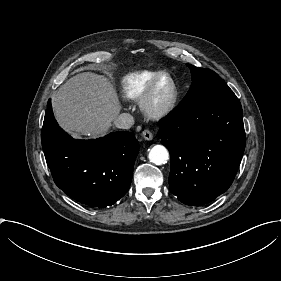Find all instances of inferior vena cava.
Returning a JSON list of instances; mask_svg holds the SVG:
<instances>
[{
	"mask_svg": "<svg viewBox=\"0 0 281 281\" xmlns=\"http://www.w3.org/2000/svg\"><path fill=\"white\" fill-rule=\"evenodd\" d=\"M134 124V118L129 113H122L119 117L113 122V126L118 129H129Z\"/></svg>",
	"mask_w": 281,
	"mask_h": 281,
	"instance_id": "inferior-vena-cava-1",
	"label": "inferior vena cava"
}]
</instances>
